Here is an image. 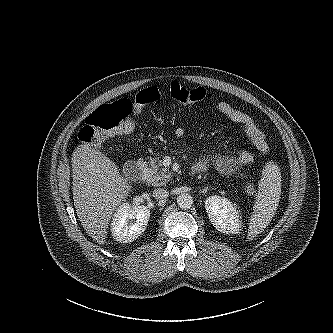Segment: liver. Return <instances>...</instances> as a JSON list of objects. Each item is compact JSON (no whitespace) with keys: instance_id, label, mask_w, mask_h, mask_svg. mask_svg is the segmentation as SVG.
<instances>
[{"instance_id":"6515ba94","label":"liver","mask_w":333,"mask_h":333,"mask_svg":"<svg viewBox=\"0 0 333 333\" xmlns=\"http://www.w3.org/2000/svg\"><path fill=\"white\" fill-rule=\"evenodd\" d=\"M73 199L84 230L104 244L113 212L125 201L131 186L117 165L85 143L72 154Z\"/></svg>"}]
</instances>
